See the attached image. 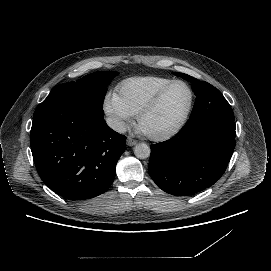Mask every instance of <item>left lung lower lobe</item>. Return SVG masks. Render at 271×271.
Returning <instances> with one entry per match:
<instances>
[{
	"label": "left lung lower lobe",
	"mask_w": 271,
	"mask_h": 271,
	"mask_svg": "<svg viewBox=\"0 0 271 271\" xmlns=\"http://www.w3.org/2000/svg\"><path fill=\"white\" fill-rule=\"evenodd\" d=\"M234 116L190 119L177 135L151 145L148 172L165 192L196 194L219 180L235 148Z\"/></svg>",
	"instance_id": "obj_1"
}]
</instances>
